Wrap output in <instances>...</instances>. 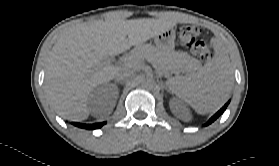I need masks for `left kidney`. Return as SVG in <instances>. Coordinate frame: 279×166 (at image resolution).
I'll return each instance as SVG.
<instances>
[{
	"instance_id": "1",
	"label": "left kidney",
	"mask_w": 279,
	"mask_h": 166,
	"mask_svg": "<svg viewBox=\"0 0 279 166\" xmlns=\"http://www.w3.org/2000/svg\"><path fill=\"white\" fill-rule=\"evenodd\" d=\"M179 109H180V106H178V109L174 111L175 114H177V112L179 111Z\"/></svg>"
}]
</instances>
